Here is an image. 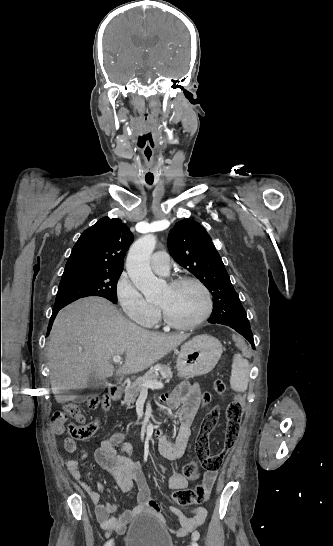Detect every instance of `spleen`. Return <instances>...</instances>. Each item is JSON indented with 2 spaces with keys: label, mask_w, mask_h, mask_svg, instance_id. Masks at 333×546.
Segmentation results:
<instances>
[{
  "label": "spleen",
  "mask_w": 333,
  "mask_h": 546,
  "mask_svg": "<svg viewBox=\"0 0 333 546\" xmlns=\"http://www.w3.org/2000/svg\"><path fill=\"white\" fill-rule=\"evenodd\" d=\"M250 365L247 359L240 354L233 357L230 385L238 392H245L249 383Z\"/></svg>",
  "instance_id": "obj_1"
}]
</instances>
